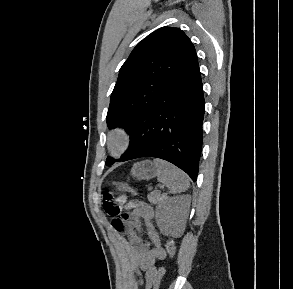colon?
Masks as SVG:
<instances>
[{"label": "colon", "instance_id": "colon-1", "mask_svg": "<svg viewBox=\"0 0 293 289\" xmlns=\"http://www.w3.org/2000/svg\"><path fill=\"white\" fill-rule=\"evenodd\" d=\"M114 186L118 191L135 194V190L133 188H131L126 183L115 182ZM103 208H104L105 213L107 215H109L110 217H112L113 219L119 218L120 216L123 215V213L121 212V209H120V205L114 200V196H113L112 192L108 191L105 193ZM120 227H121L120 225H117V228H120ZM166 250H167V253L169 254L170 258L173 259L176 254V247H175V243L172 239H167ZM164 273H165L164 269L160 268L158 270V272L153 276V278L150 281V284L153 287V289H158V287L161 283V280L164 276Z\"/></svg>", "mask_w": 293, "mask_h": 289}]
</instances>
